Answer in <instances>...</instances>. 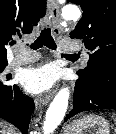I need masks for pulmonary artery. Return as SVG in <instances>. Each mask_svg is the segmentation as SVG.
<instances>
[{"instance_id":"1","label":"pulmonary artery","mask_w":116,"mask_h":134,"mask_svg":"<svg viewBox=\"0 0 116 134\" xmlns=\"http://www.w3.org/2000/svg\"><path fill=\"white\" fill-rule=\"evenodd\" d=\"M17 51L15 57L11 61V66H19V65H26L32 62H35L40 58L39 54H28L23 49V45L18 43L15 46ZM60 50L66 53H74L79 52L81 50L80 45L76 41L71 40H62L60 42ZM83 57L85 62L88 61L89 55L86 51H83Z\"/></svg>"}]
</instances>
